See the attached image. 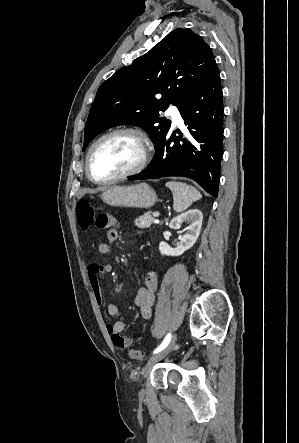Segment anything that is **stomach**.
Wrapping results in <instances>:
<instances>
[{"mask_svg":"<svg viewBox=\"0 0 299 443\" xmlns=\"http://www.w3.org/2000/svg\"><path fill=\"white\" fill-rule=\"evenodd\" d=\"M101 198L104 203L114 207L150 208L157 201L156 192L146 183L110 186L104 190Z\"/></svg>","mask_w":299,"mask_h":443,"instance_id":"obj_1","label":"stomach"}]
</instances>
